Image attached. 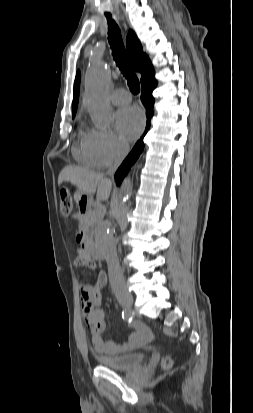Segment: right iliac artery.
<instances>
[{
  "label": "right iliac artery",
  "instance_id": "1",
  "mask_svg": "<svg viewBox=\"0 0 253 413\" xmlns=\"http://www.w3.org/2000/svg\"><path fill=\"white\" fill-rule=\"evenodd\" d=\"M122 318H123L125 321H128V322H131V320H132L131 314H130L128 311H126V310H122Z\"/></svg>",
  "mask_w": 253,
  "mask_h": 413
}]
</instances>
